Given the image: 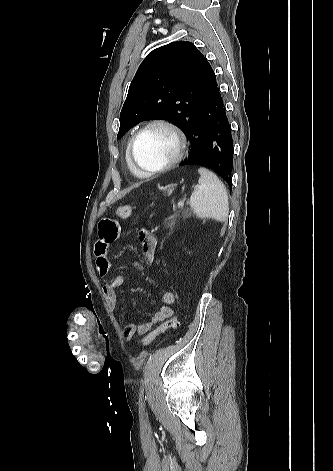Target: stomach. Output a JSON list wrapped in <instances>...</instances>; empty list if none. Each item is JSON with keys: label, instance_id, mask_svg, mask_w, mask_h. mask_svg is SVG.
<instances>
[{"label": "stomach", "instance_id": "obj_1", "mask_svg": "<svg viewBox=\"0 0 333 471\" xmlns=\"http://www.w3.org/2000/svg\"><path fill=\"white\" fill-rule=\"evenodd\" d=\"M173 185H168L165 188H163L164 191L171 192Z\"/></svg>", "mask_w": 333, "mask_h": 471}]
</instances>
